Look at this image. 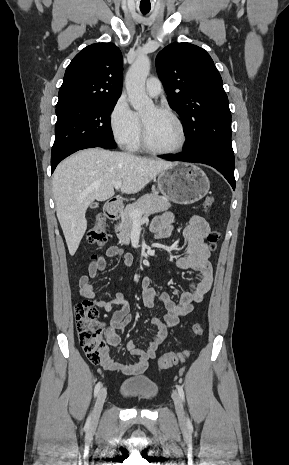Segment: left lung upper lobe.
Masks as SVG:
<instances>
[{
  "label": "left lung upper lobe",
  "mask_w": 289,
  "mask_h": 465,
  "mask_svg": "<svg viewBox=\"0 0 289 465\" xmlns=\"http://www.w3.org/2000/svg\"><path fill=\"white\" fill-rule=\"evenodd\" d=\"M156 67L169 105L184 122V151L207 145L233 150L228 98L210 55L190 43H172L158 53Z\"/></svg>",
  "instance_id": "1"
}]
</instances>
